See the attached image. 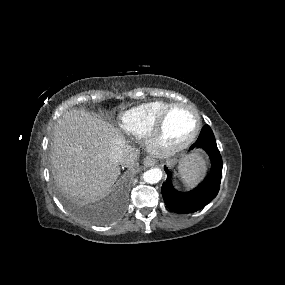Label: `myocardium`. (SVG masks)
Listing matches in <instances>:
<instances>
[{"mask_svg": "<svg viewBox=\"0 0 285 285\" xmlns=\"http://www.w3.org/2000/svg\"><path fill=\"white\" fill-rule=\"evenodd\" d=\"M184 108L191 111L196 117V126L193 132L185 140L176 144H165L162 141V134L165 123L175 109ZM202 129V119L198 110L186 103H174L170 105L157 119L153 127L145 136V147L149 153L157 158H169L188 148L199 136Z\"/></svg>", "mask_w": 285, "mask_h": 285, "instance_id": "myocardium-1", "label": "myocardium"}]
</instances>
